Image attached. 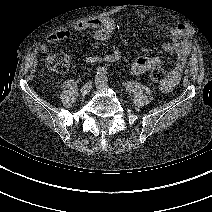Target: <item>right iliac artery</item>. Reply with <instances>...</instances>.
<instances>
[{
	"label": "right iliac artery",
	"instance_id": "1",
	"mask_svg": "<svg viewBox=\"0 0 212 212\" xmlns=\"http://www.w3.org/2000/svg\"><path fill=\"white\" fill-rule=\"evenodd\" d=\"M107 71L104 67H100L97 69L96 74L99 77H104L106 75Z\"/></svg>",
	"mask_w": 212,
	"mask_h": 212
}]
</instances>
